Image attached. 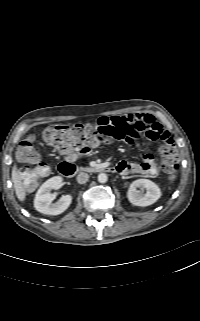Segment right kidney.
<instances>
[{
  "mask_svg": "<svg viewBox=\"0 0 200 321\" xmlns=\"http://www.w3.org/2000/svg\"><path fill=\"white\" fill-rule=\"evenodd\" d=\"M62 186V177L55 176L48 179L38 189L35 199V209L46 215H59L63 213L71 204L72 196L63 195L57 202L52 203L54 195L50 193L51 190L58 189Z\"/></svg>",
  "mask_w": 200,
  "mask_h": 321,
  "instance_id": "right-kidney-1",
  "label": "right kidney"
}]
</instances>
